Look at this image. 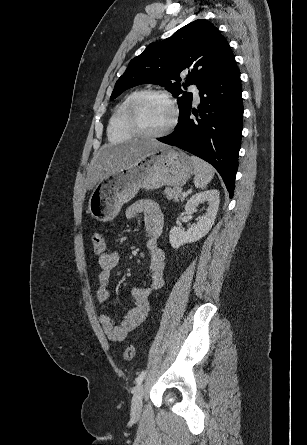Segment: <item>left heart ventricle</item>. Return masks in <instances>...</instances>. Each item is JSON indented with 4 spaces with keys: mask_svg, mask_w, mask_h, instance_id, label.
Here are the masks:
<instances>
[{
    "mask_svg": "<svg viewBox=\"0 0 307 445\" xmlns=\"http://www.w3.org/2000/svg\"><path fill=\"white\" fill-rule=\"evenodd\" d=\"M170 105L161 98L146 100L140 109V120L144 128L152 133L162 131L171 121Z\"/></svg>",
    "mask_w": 307,
    "mask_h": 445,
    "instance_id": "b2bd125f",
    "label": "left heart ventricle"
}]
</instances>
